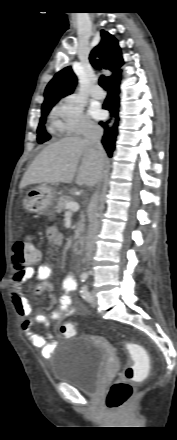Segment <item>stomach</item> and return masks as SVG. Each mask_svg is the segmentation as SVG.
<instances>
[{
	"mask_svg": "<svg viewBox=\"0 0 177 440\" xmlns=\"http://www.w3.org/2000/svg\"><path fill=\"white\" fill-rule=\"evenodd\" d=\"M55 194V189L47 184L34 187L26 193L23 208L28 213L51 215L56 201Z\"/></svg>",
	"mask_w": 177,
	"mask_h": 440,
	"instance_id": "stomach-1",
	"label": "stomach"
}]
</instances>
